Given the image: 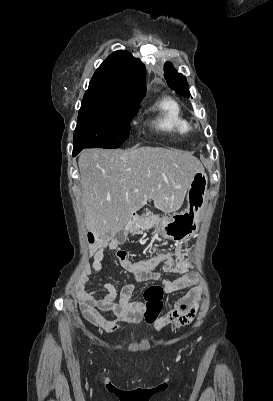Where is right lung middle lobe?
<instances>
[{
  "instance_id": "dd1d6c3e",
  "label": "right lung middle lobe",
  "mask_w": 273,
  "mask_h": 401,
  "mask_svg": "<svg viewBox=\"0 0 273 401\" xmlns=\"http://www.w3.org/2000/svg\"><path fill=\"white\" fill-rule=\"evenodd\" d=\"M138 106L83 99L74 131L73 148H118L129 136Z\"/></svg>"
}]
</instances>
